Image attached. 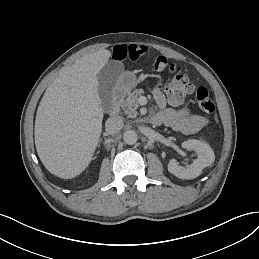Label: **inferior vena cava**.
I'll return each mask as SVG.
<instances>
[{
	"instance_id": "1",
	"label": "inferior vena cava",
	"mask_w": 259,
	"mask_h": 259,
	"mask_svg": "<svg viewBox=\"0 0 259 259\" xmlns=\"http://www.w3.org/2000/svg\"><path fill=\"white\" fill-rule=\"evenodd\" d=\"M106 131L114 134L119 133L123 128V120L120 116H113L106 120L105 123Z\"/></svg>"
}]
</instances>
